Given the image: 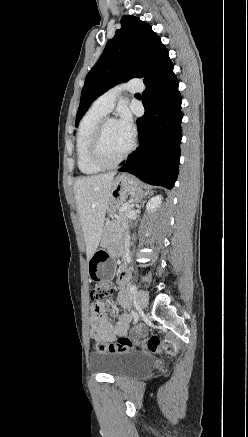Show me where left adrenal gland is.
I'll return each instance as SVG.
<instances>
[{
	"mask_svg": "<svg viewBox=\"0 0 248 437\" xmlns=\"http://www.w3.org/2000/svg\"><path fill=\"white\" fill-rule=\"evenodd\" d=\"M150 193L152 194L153 192H150ZM147 194H148V192L145 194L143 192H138L136 195L135 203L137 204L138 202H140L143 199L144 195H147Z\"/></svg>",
	"mask_w": 248,
	"mask_h": 437,
	"instance_id": "obj_1",
	"label": "left adrenal gland"
}]
</instances>
